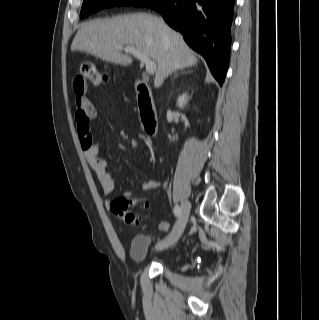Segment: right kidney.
Instances as JSON below:
<instances>
[{"instance_id":"obj_1","label":"right kidney","mask_w":319,"mask_h":320,"mask_svg":"<svg viewBox=\"0 0 319 320\" xmlns=\"http://www.w3.org/2000/svg\"><path fill=\"white\" fill-rule=\"evenodd\" d=\"M188 99H189V97L186 93L180 95L177 99L178 107L183 108L186 105V103L188 102Z\"/></svg>"}]
</instances>
